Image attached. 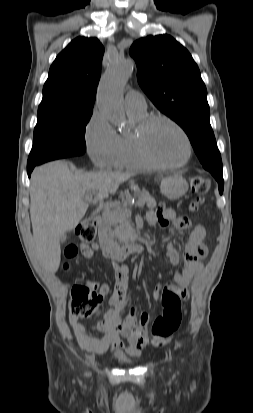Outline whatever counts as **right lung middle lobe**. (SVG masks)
Returning a JSON list of instances; mask_svg holds the SVG:
<instances>
[{
  "instance_id": "dd1d6c3e",
  "label": "right lung middle lobe",
  "mask_w": 253,
  "mask_h": 413,
  "mask_svg": "<svg viewBox=\"0 0 253 413\" xmlns=\"http://www.w3.org/2000/svg\"><path fill=\"white\" fill-rule=\"evenodd\" d=\"M92 113L55 111L38 114L27 166L84 154L85 128Z\"/></svg>"
}]
</instances>
